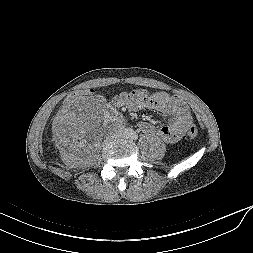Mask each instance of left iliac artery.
Listing matches in <instances>:
<instances>
[{
	"instance_id": "obj_1",
	"label": "left iliac artery",
	"mask_w": 253,
	"mask_h": 253,
	"mask_svg": "<svg viewBox=\"0 0 253 253\" xmlns=\"http://www.w3.org/2000/svg\"><path fill=\"white\" fill-rule=\"evenodd\" d=\"M130 138H131L132 140H137V139H138V135H137L135 132H131V133H130Z\"/></svg>"
}]
</instances>
